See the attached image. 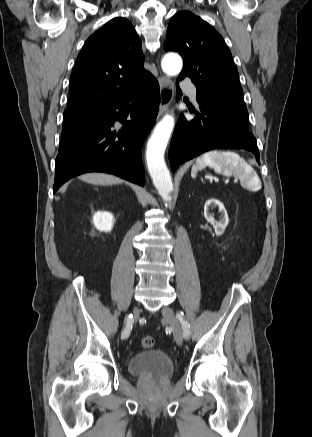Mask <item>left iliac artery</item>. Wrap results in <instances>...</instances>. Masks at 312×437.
<instances>
[{
  "instance_id": "obj_1",
  "label": "left iliac artery",
  "mask_w": 312,
  "mask_h": 437,
  "mask_svg": "<svg viewBox=\"0 0 312 437\" xmlns=\"http://www.w3.org/2000/svg\"><path fill=\"white\" fill-rule=\"evenodd\" d=\"M177 318L179 319V321L182 324V328H183V335L185 338H188L190 336V330H189V324L188 322L184 319V315L183 313H177Z\"/></svg>"
}]
</instances>
